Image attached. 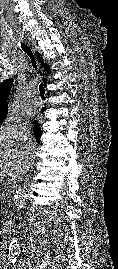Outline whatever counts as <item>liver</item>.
Instances as JSON below:
<instances>
[{
	"label": "liver",
	"mask_w": 118,
	"mask_h": 269,
	"mask_svg": "<svg viewBox=\"0 0 118 269\" xmlns=\"http://www.w3.org/2000/svg\"><path fill=\"white\" fill-rule=\"evenodd\" d=\"M20 130V131H19ZM30 138L27 127L20 125L19 128L5 125L0 130V179L12 172L20 175L25 157V145Z\"/></svg>",
	"instance_id": "liver-1"
}]
</instances>
